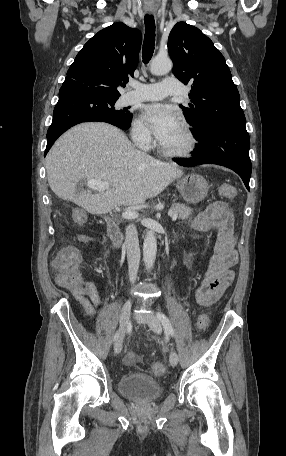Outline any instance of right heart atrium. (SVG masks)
Here are the masks:
<instances>
[{"instance_id": "right-heart-atrium-1", "label": "right heart atrium", "mask_w": 286, "mask_h": 456, "mask_svg": "<svg viewBox=\"0 0 286 456\" xmlns=\"http://www.w3.org/2000/svg\"><path fill=\"white\" fill-rule=\"evenodd\" d=\"M132 140L142 149H147L152 144V136L145 125V123L140 119H136L132 124L131 129Z\"/></svg>"}]
</instances>
